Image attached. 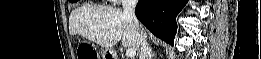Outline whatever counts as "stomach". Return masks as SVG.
Returning a JSON list of instances; mask_svg holds the SVG:
<instances>
[{"mask_svg":"<svg viewBox=\"0 0 261 59\" xmlns=\"http://www.w3.org/2000/svg\"><path fill=\"white\" fill-rule=\"evenodd\" d=\"M101 56H102V59H109V58H113L112 54H111V51L106 49V50H103L101 52Z\"/></svg>","mask_w":261,"mask_h":59,"instance_id":"obj_1","label":"stomach"}]
</instances>
